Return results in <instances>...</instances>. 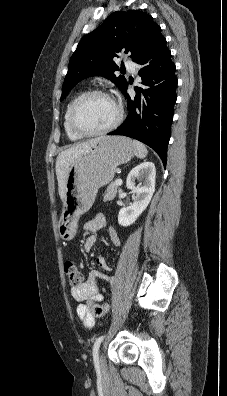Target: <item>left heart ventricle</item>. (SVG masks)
I'll return each instance as SVG.
<instances>
[{"label": "left heart ventricle", "instance_id": "b2bd125f", "mask_svg": "<svg viewBox=\"0 0 227 396\" xmlns=\"http://www.w3.org/2000/svg\"><path fill=\"white\" fill-rule=\"evenodd\" d=\"M117 117V108L108 98L94 95L79 106L77 121L86 130H100L110 125Z\"/></svg>", "mask_w": 227, "mask_h": 396}]
</instances>
